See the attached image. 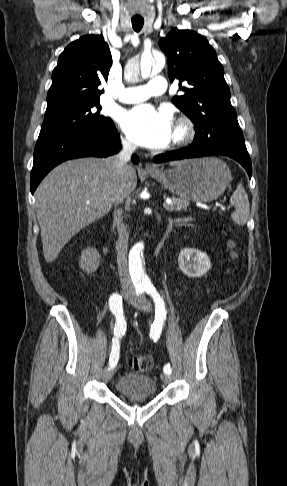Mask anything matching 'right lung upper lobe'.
<instances>
[{"label": "right lung upper lobe", "instance_id": "obj_1", "mask_svg": "<svg viewBox=\"0 0 287 486\" xmlns=\"http://www.w3.org/2000/svg\"><path fill=\"white\" fill-rule=\"evenodd\" d=\"M112 57L102 35H85L60 54L52 73L47 107L81 100L99 99L107 81Z\"/></svg>", "mask_w": 287, "mask_h": 486}]
</instances>
